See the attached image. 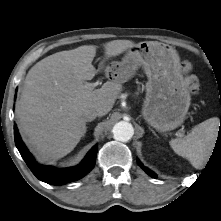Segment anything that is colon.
<instances>
[{
  "mask_svg": "<svg viewBox=\"0 0 221 221\" xmlns=\"http://www.w3.org/2000/svg\"><path fill=\"white\" fill-rule=\"evenodd\" d=\"M191 70V64L188 61H184L182 64V71L186 75V86L191 93H196L199 90L200 84L198 78L195 75L191 74Z\"/></svg>",
  "mask_w": 221,
  "mask_h": 221,
  "instance_id": "1",
  "label": "colon"
}]
</instances>
